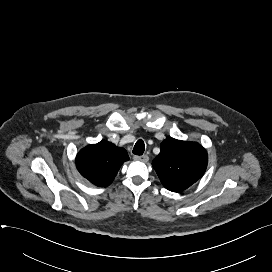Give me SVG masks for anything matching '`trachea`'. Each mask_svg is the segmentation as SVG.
Here are the masks:
<instances>
[{
    "mask_svg": "<svg viewBox=\"0 0 272 272\" xmlns=\"http://www.w3.org/2000/svg\"><path fill=\"white\" fill-rule=\"evenodd\" d=\"M145 150V144L143 140H138L133 148V154L135 155H142Z\"/></svg>",
    "mask_w": 272,
    "mask_h": 272,
    "instance_id": "1",
    "label": "trachea"
}]
</instances>
